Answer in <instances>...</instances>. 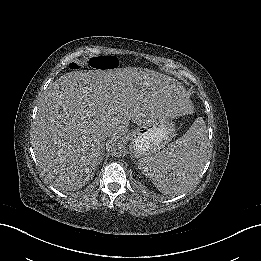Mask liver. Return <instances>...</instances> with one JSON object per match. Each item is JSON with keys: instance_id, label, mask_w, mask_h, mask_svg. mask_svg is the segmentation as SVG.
Segmentation results:
<instances>
[{"instance_id": "obj_1", "label": "liver", "mask_w": 261, "mask_h": 261, "mask_svg": "<svg viewBox=\"0 0 261 261\" xmlns=\"http://www.w3.org/2000/svg\"><path fill=\"white\" fill-rule=\"evenodd\" d=\"M59 85L39 101L34 149L39 166L60 180L81 179L98 165L106 136L124 129L115 114L120 107H134L141 122L163 105L155 100L141 104L130 88L105 72H75Z\"/></svg>"}]
</instances>
